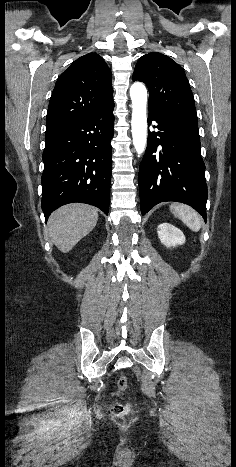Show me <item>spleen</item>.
I'll use <instances>...</instances> for the list:
<instances>
[{
	"instance_id": "obj_1",
	"label": "spleen",
	"mask_w": 236,
	"mask_h": 467,
	"mask_svg": "<svg viewBox=\"0 0 236 467\" xmlns=\"http://www.w3.org/2000/svg\"><path fill=\"white\" fill-rule=\"evenodd\" d=\"M171 212L182 220L186 226H188L192 231L197 232L201 227V220L197 212L191 207L184 204H177L170 206Z\"/></svg>"
}]
</instances>
